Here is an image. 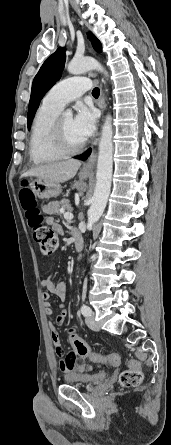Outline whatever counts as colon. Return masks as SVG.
Segmentation results:
<instances>
[{"label": "colon", "instance_id": "obj_1", "mask_svg": "<svg viewBox=\"0 0 171 445\" xmlns=\"http://www.w3.org/2000/svg\"><path fill=\"white\" fill-rule=\"evenodd\" d=\"M19 199L40 252L42 254H52L59 244L58 232L45 223L44 217L37 206L36 197L31 190H21ZM69 342L75 353L82 358H89L95 362H104L112 365L118 361L113 353L103 356L92 352L89 346L77 336L75 326L69 329ZM142 380L143 373L140 364L135 360H129L128 368L120 374L119 381L121 386L125 388L137 387L141 384Z\"/></svg>", "mask_w": 171, "mask_h": 445}]
</instances>
